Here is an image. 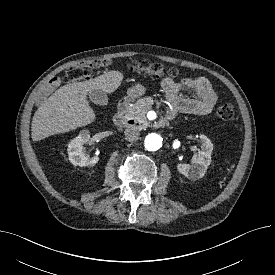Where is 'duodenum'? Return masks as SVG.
Returning a JSON list of instances; mask_svg holds the SVG:
<instances>
[{
  "instance_id": "1",
  "label": "duodenum",
  "mask_w": 275,
  "mask_h": 275,
  "mask_svg": "<svg viewBox=\"0 0 275 275\" xmlns=\"http://www.w3.org/2000/svg\"><path fill=\"white\" fill-rule=\"evenodd\" d=\"M129 105V100L123 99L118 105V112L114 116V124L117 127H124L130 123L127 115V108Z\"/></svg>"
}]
</instances>
